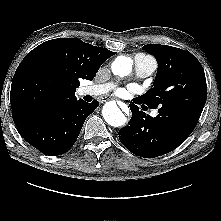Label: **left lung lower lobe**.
I'll list each match as a JSON object with an SVG mask.
<instances>
[{
  "mask_svg": "<svg viewBox=\"0 0 221 221\" xmlns=\"http://www.w3.org/2000/svg\"><path fill=\"white\" fill-rule=\"evenodd\" d=\"M130 109L132 118L119 131V139L130 152L140 157L166 154L183 143L193 131L173 117L159 114L153 118L139 111L135 104H130Z\"/></svg>",
  "mask_w": 221,
  "mask_h": 221,
  "instance_id": "left-lung-lower-lobe-1",
  "label": "left lung lower lobe"
}]
</instances>
